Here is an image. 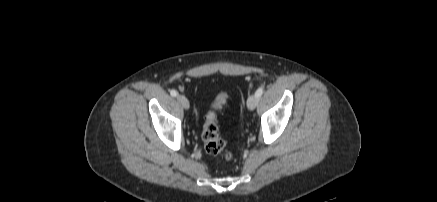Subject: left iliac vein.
Wrapping results in <instances>:
<instances>
[{
  "instance_id": "left-iliac-vein-1",
  "label": "left iliac vein",
  "mask_w": 437,
  "mask_h": 202,
  "mask_svg": "<svg viewBox=\"0 0 437 202\" xmlns=\"http://www.w3.org/2000/svg\"><path fill=\"white\" fill-rule=\"evenodd\" d=\"M257 103H258V98L256 97V95H251L247 100L248 109L254 110L255 107L257 106Z\"/></svg>"
}]
</instances>
